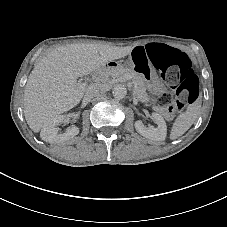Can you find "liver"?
Masks as SVG:
<instances>
[{
  "instance_id": "1",
  "label": "liver",
  "mask_w": 227,
  "mask_h": 227,
  "mask_svg": "<svg viewBox=\"0 0 227 227\" xmlns=\"http://www.w3.org/2000/svg\"><path fill=\"white\" fill-rule=\"evenodd\" d=\"M132 47L101 44H70L51 50L36 61L24 90V115L34 132L58 114L76 106L92 94L78 78L99 72L107 62L129 55ZM105 89L106 85H102Z\"/></svg>"
}]
</instances>
